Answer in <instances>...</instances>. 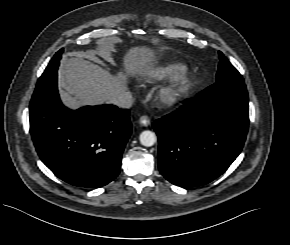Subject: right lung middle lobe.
<instances>
[{"instance_id":"right-lung-middle-lobe-1","label":"right lung middle lobe","mask_w":290,"mask_h":245,"mask_svg":"<svg viewBox=\"0 0 290 245\" xmlns=\"http://www.w3.org/2000/svg\"><path fill=\"white\" fill-rule=\"evenodd\" d=\"M62 53H63V49L59 50L54 55V57L52 58V60L48 64V66L46 67L45 71L43 72L42 76L47 75V74H51V73L57 71Z\"/></svg>"}]
</instances>
